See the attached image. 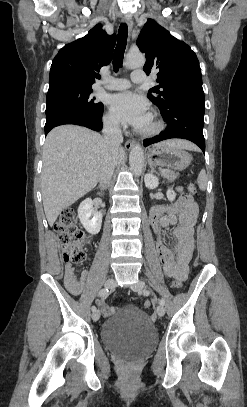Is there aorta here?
I'll return each instance as SVG.
<instances>
[{"mask_svg": "<svg viewBox=\"0 0 247 407\" xmlns=\"http://www.w3.org/2000/svg\"><path fill=\"white\" fill-rule=\"evenodd\" d=\"M145 64V56L140 53H129L125 60V66L133 69L142 67ZM129 164L132 172L136 176H140L144 168V152L139 144H135L129 155Z\"/></svg>", "mask_w": 247, "mask_h": 407, "instance_id": "aorta-1", "label": "aorta"}]
</instances>
